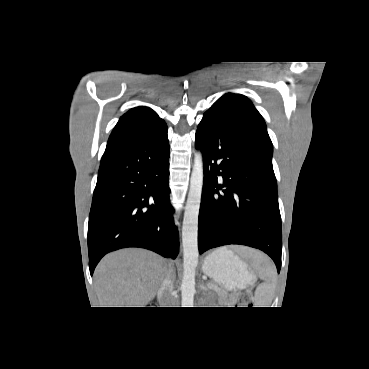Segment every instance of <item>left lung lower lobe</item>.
<instances>
[{
    "mask_svg": "<svg viewBox=\"0 0 369 369\" xmlns=\"http://www.w3.org/2000/svg\"><path fill=\"white\" fill-rule=\"evenodd\" d=\"M195 145L204 163L199 253L228 244L246 245L267 253L279 272L282 232L272 155L212 115H204L199 123Z\"/></svg>",
    "mask_w": 369,
    "mask_h": 369,
    "instance_id": "obj_1",
    "label": "left lung lower lobe"
}]
</instances>
